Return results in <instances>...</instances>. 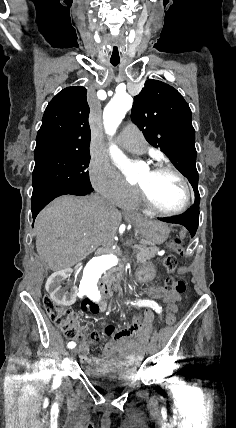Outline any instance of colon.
I'll list each match as a JSON object with an SVG mask.
<instances>
[{"instance_id": "1", "label": "colon", "mask_w": 236, "mask_h": 428, "mask_svg": "<svg viewBox=\"0 0 236 428\" xmlns=\"http://www.w3.org/2000/svg\"><path fill=\"white\" fill-rule=\"evenodd\" d=\"M170 247L179 254L183 253L182 242L179 238L170 241ZM164 266L169 273H174L177 267V258L174 255H168L164 259ZM165 288L171 294L179 296L185 292V282L176 276H170L165 280ZM43 304L51 321L59 327L66 338L71 340L82 341L83 335L81 332L80 323L77 314L70 308L63 307L54 302L50 296H45ZM82 310L88 313H98L99 306L90 300H85L82 304ZM176 305L169 307L166 314V322L171 324L175 320ZM141 325V318H132L131 326L138 327Z\"/></svg>"}]
</instances>
